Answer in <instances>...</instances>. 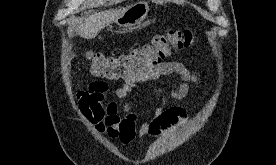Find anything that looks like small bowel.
Here are the masks:
<instances>
[{
	"label": "small bowel",
	"instance_id": "small-bowel-1",
	"mask_svg": "<svg viewBox=\"0 0 276 165\" xmlns=\"http://www.w3.org/2000/svg\"><path fill=\"white\" fill-rule=\"evenodd\" d=\"M173 74L180 75L182 82L172 90L171 95L176 100H182L188 93L189 83H197L198 77L183 63L168 61L159 64L150 75L125 80L119 87H110L100 80L91 82L86 91L77 94L79 108L98 133L118 140L125 146L136 138L157 137L164 131L184 122L187 119L186 111L180 107L164 108L160 91L150 87L149 91L158 102V107L152 116L144 120L138 128V115L131 112L128 104H125V115L122 116L117 101L125 100L140 83Z\"/></svg>",
	"mask_w": 276,
	"mask_h": 165
}]
</instances>
